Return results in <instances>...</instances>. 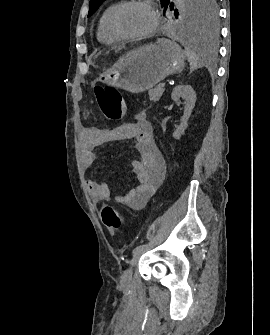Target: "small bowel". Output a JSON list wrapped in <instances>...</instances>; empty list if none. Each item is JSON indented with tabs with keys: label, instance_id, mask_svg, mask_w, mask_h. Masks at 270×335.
Wrapping results in <instances>:
<instances>
[{
	"label": "small bowel",
	"instance_id": "c3829d8e",
	"mask_svg": "<svg viewBox=\"0 0 270 335\" xmlns=\"http://www.w3.org/2000/svg\"><path fill=\"white\" fill-rule=\"evenodd\" d=\"M87 116V113H85ZM104 131L91 126L83 127L81 137L83 141L82 160L87 166L95 162V148L101 143ZM119 139H133L139 157L130 162L138 185L115 200L127 208L138 210L143 208L163 181L165 163L158 153L149 121L139 119L118 128ZM87 188L94 202H110L113 200L111 191L106 183L87 180Z\"/></svg>",
	"mask_w": 270,
	"mask_h": 335
}]
</instances>
